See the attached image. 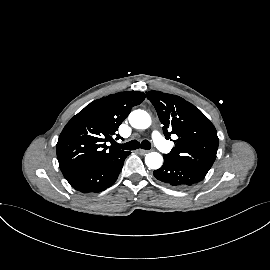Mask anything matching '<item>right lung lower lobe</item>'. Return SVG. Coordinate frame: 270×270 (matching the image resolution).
<instances>
[{
  "label": "right lung lower lobe",
  "instance_id": "right-lung-lower-lobe-1",
  "mask_svg": "<svg viewBox=\"0 0 270 270\" xmlns=\"http://www.w3.org/2000/svg\"><path fill=\"white\" fill-rule=\"evenodd\" d=\"M129 154L130 152H124L103 162L78 168L63 175L77 191L98 193L110 187L117 180L124 160Z\"/></svg>",
  "mask_w": 270,
  "mask_h": 270
}]
</instances>
